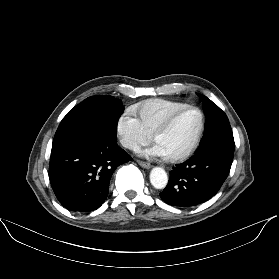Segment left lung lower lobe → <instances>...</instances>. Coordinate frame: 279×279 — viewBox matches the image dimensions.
I'll list each match as a JSON object with an SVG mask.
<instances>
[{"instance_id": "0a47b994", "label": "left lung lower lobe", "mask_w": 279, "mask_h": 279, "mask_svg": "<svg viewBox=\"0 0 279 279\" xmlns=\"http://www.w3.org/2000/svg\"><path fill=\"white\" fill-rule=\"evenodd\" d=\"M234 151L209 145L170 171L166 188L160 193L172 206L190 207L213 197L227 178Z\"/></svg>"}]
</instances>
